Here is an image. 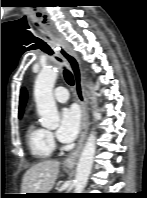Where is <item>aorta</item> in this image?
<instances>
[{"mask_svg": "<svg viewBox=\"0 0 147 198\" xmlns=\"http://www.w3.org/2000/svg\"><path fill=\"white\" fill-rule=\"evenodd\" d=\"M58 76L56 68H44L38 74L34 85V98L40 123L45 128H57L59 115L53 97V88ZM93 103L96 98L93 97ZM96 150V135L91 131L80 155L75 178L74 193H83L86 186Z\"/></svg>", "mask_w": 147, "mask_h": 198, "instance_id": "obj_1", "label": "aorta"}]
</instances>
